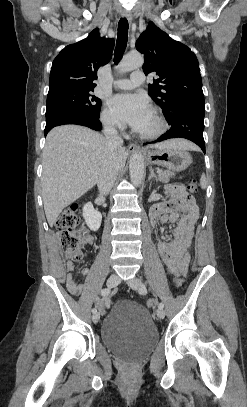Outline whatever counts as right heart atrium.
<instances>
[{
	"label": "right heart atrium",
	"instance_id": "obj_1",
	"mask_svg": "<svg viewBox=\"0 0 247 407\" xmlns=\"http://www.w3.org/2000/svg\"><path fill=\"white\" fill-rule=\"evenodd\" d=\"M100 120L102 124L111 131H119L122 129V124L114 114V112L108 108L104 107L100 114Z\"/></svg>",
	"mask_w": 247,
	"mask_h": 407
}]
</instances>
